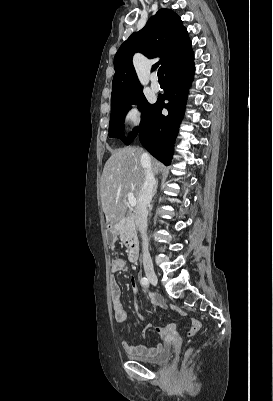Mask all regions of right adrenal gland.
Listing matches in <instances>:
<instances>
[{
    "mask_svg": "<svg viewBox=\"0 0 273 401\" xmlns=\"http://www.w3.org/2000/svg\"><path fill=\"white\" fill-rule=\"evenodd\" d=\"M158 182H159V180H158V178H157V180H156V184H154V188H153V194H156V192H157V188H158Z\"/></svg>",
    "mask_w": 273,
    "mask_h": 401,
    "instance_id": "1",
    "label": "right adrenal gland"
}]
</instances>
